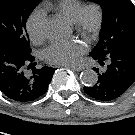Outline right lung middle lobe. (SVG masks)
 <instances>
[{
    "instance_id": "right-lung-middle-lobe-1",
    "label": "right lung middle lobe",
    "mask_w": 135,
    "mask_h": 135,
    "mask_svg": "<svg viewBox=\"0 0 135 135\" xmlns=\"http://www.w3.org/2000/svg\"><path fill=\"white\" fill-rule=\"evenodd\" d=\"M42 0H0V41L9 43L23 54H30L26 22Z\"/></svg>"
}]
</instances>
